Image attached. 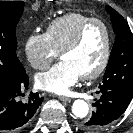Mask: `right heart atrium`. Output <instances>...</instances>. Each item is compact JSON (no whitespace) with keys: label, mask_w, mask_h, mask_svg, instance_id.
I'll return each mask as SVG.
<instances>
[{"label":"right heart atrium","mask_w":133,"mask_h":133,"mask_svg":"<svg viewBox=\"0 0 133 133\" xmlns=\"http://www.w3.org/2000/svg\"><path fill=\"white\" fill-rule=\"evenodd\" d=\"M25 53L30 65L37 70L46 69L59 54L45 33L31 34L25 43Z\"/></svg>","instance_id":"obj_1"}]
</instances>
